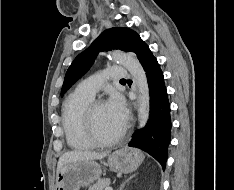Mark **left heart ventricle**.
<instances>
[{"label": "left heart ventricle", "instance_id": "b2bd125f", "mask_svg": "<svg viewBox=\"0 0 234 190\" xmlns=\"http://www.w3.org/2000/svg\"><path fill=\"white\" fill-rule=\"evenodd\" d=\"M94 123L98 135L103 138L114 136L123 127V125L111 114L106 103L95 110Z\"/></svg>", "mask_w": 234, "mask_h": 190}]
</instances>
